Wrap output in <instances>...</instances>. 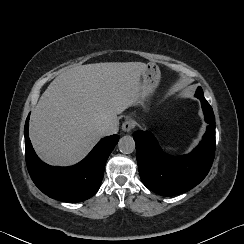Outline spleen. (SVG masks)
Here are the masks:
<instances>
[{"instance_id": "1", "label": "spleen", "mask_w": 244, "mask_h": 244, "mask_svg": "<svg viewBox=\"0 0 244 244\" xmlns=\"http://www.w3.org/2000/svg\"><path fill=\"white\" fill-rule=\"evenodd\" d=\"M163 148L166 150V151H170V152H176L178 150V148H173V147H169V146H163Z\"/></svg>"}]
</instances>
